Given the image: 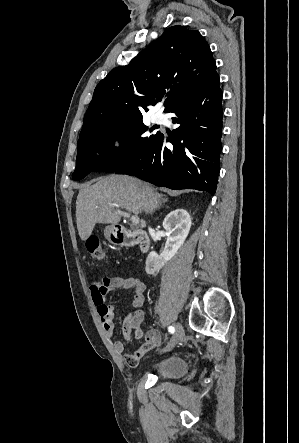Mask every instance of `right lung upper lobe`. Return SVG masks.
<instances>
[{
	"label": "right lung upper lobe",
	"mask_w": 299,
	"mask_h": 443,
	"mask_svg": "<svg viewBox=\"0 0 299 443\" xmlns=\"http://www.w3.org/2000/svg\"><path fill=\"white\" fill-rule=\"evenodd\" d=\"M216 74L203 36L185 26H172L128 65L114 68L99 82L80 137L106 125L142 118L147 106L163 96L164 112H168Z\"/></svg>",
	"instance_id": "1"
}]
</instances>
